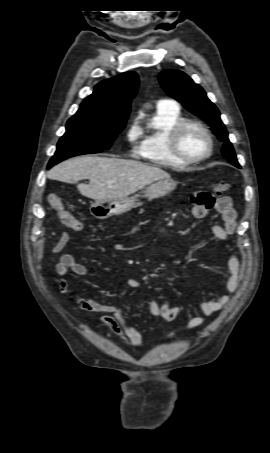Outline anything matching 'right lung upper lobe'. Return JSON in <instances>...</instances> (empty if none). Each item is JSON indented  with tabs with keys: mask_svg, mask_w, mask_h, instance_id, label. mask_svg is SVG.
Returning <instances> with one entry per match:
<instances>
[{
	"mask_svg": "<svg viewBox=\"0 0 270 453\" xmlns=\"http://www.w3.org/2000/svg\"><path fill=\"white\" fill-rule=\"evenodd\" d=\"M138 88V75L125 72L95 86L73 117H95L114 123H126L130 103Z\"/></svg>",
	"mask_w": 270,
	"mask_h": 453,
	"instance_id": "1",
	"label": "right lung upper lobe"
}]
</instances>
